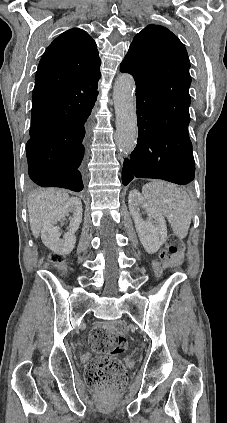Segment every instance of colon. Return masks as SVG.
<instances>
[{
	"label": "colon",
	"instance_id": "1",
	"mask_svg": "<svg viewBox=\"0 0 227 423\" xmlns=\"http://www.w3.org/2000/svg\"><path fill=\"white\" fill-rule=\"evenodd\" d=\"M181 252L179 239L171 235L167 247L161 252L159 261L154 263V269L161 275L163 268L174 260ZM50 261L58 269L65 270L64 259L58 254H51ZM89 344L96 353L86 368L87 384L98 389L104 395H113L121 391L126 383L127 374L123 363L117 358L126 351L127 339L124 328L120 324L100 325L92 330Z\"/></svg>",
	"mask_w": 227,
	"mask_h": 423
}]
</instances>
